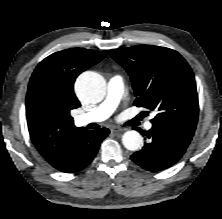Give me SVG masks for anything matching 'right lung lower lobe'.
I'll return each instance as SVG.
<instances>
[{
  "label": "right lung lower lobe",
  "mask_w": 222,
  "mask_h": 219,
  "mask_svg": "<svg viewBox=\"0 0 222 219\" xmlns=\"http://www.w3.org/2000/svg\"><path fill=\"white\" fill-rule=\"evenodd\" d=\"M109 132L107 128L84 131L72 143L64 158L53 167L64 173H75L82 170L92 162L100 143Z\"/></svg>",
  "instance_id": "1"
}]
</instances>
